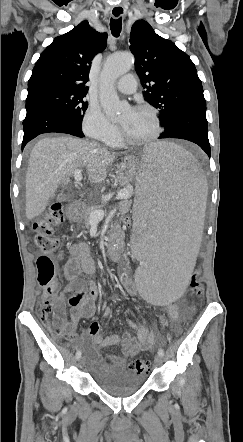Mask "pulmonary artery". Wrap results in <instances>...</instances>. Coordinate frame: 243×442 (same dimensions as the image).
Wrapping results in <instances>:
<instances>
[{
  "label": "pulmonary artery",
  "mask_w": 243,
  "mask_h": 442,
  "mask_svg": "<svg viewBox=\"0 0 243 442\" xmlns=\"http://www.w3.org/2000/svg\"><path fill=\"white\" fill-rule=\"evenodd\" d=\"M117 90L122 94H132L137 88V79L134 74L128 73L117 82Z\"/></svg>",
  "instance_id": "obj_1"
}]
</instances>
